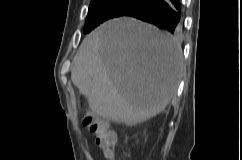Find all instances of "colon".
Instances as JSON below:
<instances>
[{"instance_id":"5ec220e1","label":"colon","mask_w":242,"mask_h":160,"mask_svg":"<svg viewBox=\"0 0 242 160\" xmlns=\"http://www.w3.org/2000/svg\"><path fill=\"white\" fill-rule=\"evenodd\" d=\"M83 123L95 135L96 144L103 150L105 156L111 158L113 156L112 147L115 142V135L108 129L107 122L95 114L87 112L84 115Z\"/></svg>"}]
</instances>
